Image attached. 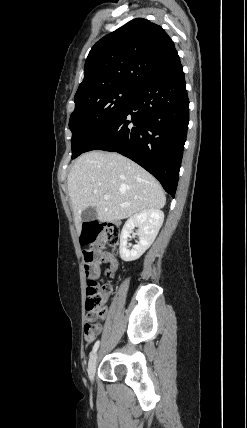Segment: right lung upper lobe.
Here are the masks:
<instances>
[{"mask_svg":"<svg viewBox=\"0 0 247 428\" xmlns=\"http://www.w3.org/2000/svg\"><path fill=\"white\" fill-rule=\"evenodd\" d=\"M178 59L173 41L161 26L133 19L92 47L75 97L115 86L139 90Z\"/></svg>","mask_w":247,"mask_h":428,"instance_id":"right-lung-upper-lobe-1","label":"right lung upper lobe"}]
</instances>
